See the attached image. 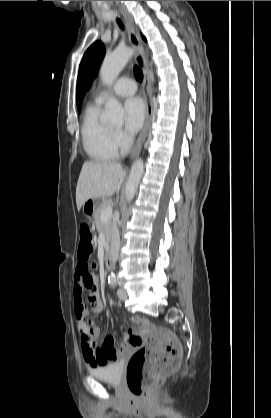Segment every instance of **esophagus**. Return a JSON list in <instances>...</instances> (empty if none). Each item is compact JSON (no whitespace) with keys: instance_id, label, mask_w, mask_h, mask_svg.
<instances>
[{"instance_id":"34e87169","label":"esophagus","mask_w":271,"mask_h":418,"mask_svg":"<svg viewBox=\"0 0 271 418\" xmlns=\"http://www.w3.org/2000/svg\"><path fill=\"white\" fill-rule=\"evenodd\" d=\"M121 14L123 15V18L126 21V25H127V30H128V37H129V41L134 49L135 52V61L138 64V66L141 68L142 72H143V96L145 99V103H146V120H145V124L144 127L137 139V142L135 144V147L133 149V153H137L139 152V150L141 149L150 125H151V119H152V114H153V103H152V96H151V84H150V78H149V72H148V67H147V61L146 58L144 56V49H143V44L141 42L140 36L136 30V27L132 21V19L130 18V16L124 12L123 10H121Z\"/></svg>"}]
</instances>
